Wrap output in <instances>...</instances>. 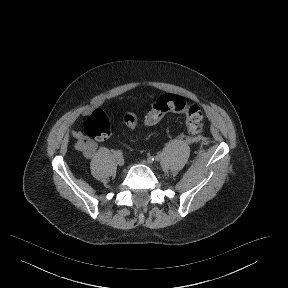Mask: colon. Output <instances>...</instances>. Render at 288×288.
I'll return each mask as SVG.
<instances>
[{
    "label": "colon",
    "instance_id": "colon-1",
    "mask_svg": "<svg viewBox=\"0 0 288 288\" xmlns=\"http://www.w3.org/2000/svg\"><path fill=\"white\" fill-rule=\"evenodd\" d=\"M180 112L186 116V129L191 134H198L203 126V111L192 103H188L184 96L166 94L160 97L148 111L144 124L154 126L169 113ZM127 127L135 129L139 120L129 116L125 120ZM84 133L93 140H105L111 134L110 113L105 108L96 109L84 123Z\"/></svg>",
    "mask_w": 288,
    "mask_h": 288
}]
</instances>
